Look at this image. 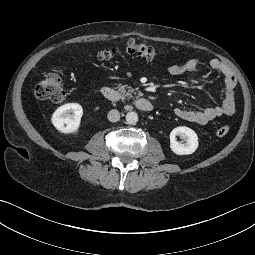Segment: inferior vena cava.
Instances as JSON below:
<instances>
[{
	"mask_svg": "<svg viewBox=\"0 0 255 255\" xmlns=\"http://www.w3.org/2000/svg\"><path fill=\"white\" fill-rule=\"evenodd\" d=\"M107 118L110 122H117L119 119H120V113L118 110H110L108 115H107Z\"/></svg>",
	"mask_w": 255,
	"mask_h": 255,
	"instance_id": "inferior-vena-cava-1",
	"label": "inferior vena cava"
}]
</instances>
